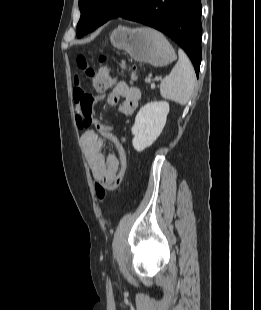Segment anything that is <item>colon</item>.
I'll use <instances>...</instances> for the list:
<instances>
[{
	"label": "colon",
	"instance_id": "obj_1",
	"mask_svg": "<svg viewBox=\"0 0 261 310\" xmlns=\"http://www.w3.org/2000/svg\"><path fill=\"white\" fill-rule=\"evenodd\" d=\"M105 58L100 59V66L97 69L91 68L88 65V60L85 56L80 55L77 58V66L79 69L85 72L86 76L91 80L92 87L97 92H105L110 89L114 84V78L104 65ZM136 76L135 72H132V77ZM117 149V156L120 162L119 171L113 181L106 182H97L95 185L96 194L99 199L105 197L106 191L116 189L124 176L126 169V153L123 145L119 142L115 143Z\"/></svg>",
	"mask_w": 261,
	"mask_h": 310
}]
</instances>
